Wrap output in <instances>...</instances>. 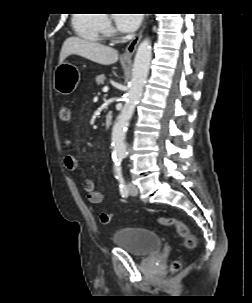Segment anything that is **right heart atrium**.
I'll use <instances>...</instances> for the list:
<instances>
[{
    "instance_id": "d8ad5b80",
    "label": "right heart atrium",
    "mask_w": 252,
    "mask_h": 303,
    "mask_svg": "<svg viewBox=\"0 0 252 303\" xmlns=\"http://www.w3.org/2000/svg\"><path fill=\"white\" fill-rule=\"evenodd\" d=\"M104 27H105V30H106V31H109V30H110L111 25H110L109 20L105 19Z\"/></svg>"
}]
</instances>
